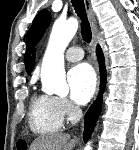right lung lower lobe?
I'll return each instance as SVG.
<instances>
[{
  "label": "right lung lower lobe",
  "mask_w": 139,
  "mask_h": 150,
  "mask_svg": "<svg viewBox=\"0 0 139 150\" xmlns=\"http://www.w3.org/2000/svg\"><path fill=\"white\" fill-rule=\"evenodd\" d=\"M97 58H98L99 65H100V75H101L100 93L96 102H94V104L91 106V108L89 109L85 117V129H84V134H83V139L85 142L89 139L95 127L96 121L99 117V114L101 111V104H102V95H103V91H104L105 84H106L105 61H104L103 52L100 46L97 47Z\"/></svg>",
  "instance_id": "1"
}]
</instances>
